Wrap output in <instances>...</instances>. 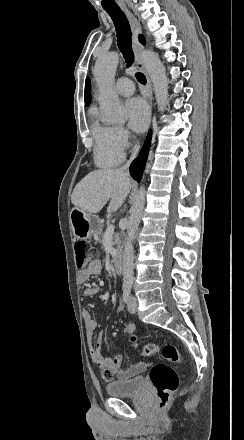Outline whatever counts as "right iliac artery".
<instances>
[{"mask_svg": "<svg viewBox=\"0 0 244 440\" xmlns=\"http://www.w3.org/2000/svg\"><path fill=\"white\" fill-rule=\"evenodd\" d=\"M130 293H131L130 288L129 287H124L123 294H122V299H123L124 303H128L129 298H130Z\"/></svg>", "mask_w": 244, "mask_h": 440, "instance_id": "82829eb1", "label": "right iliac artery"}]
</instances>
